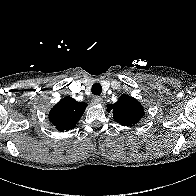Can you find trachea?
Returning a JSON list of instances; mask_svg holds the SVG:
<instances>
[{
    "instance_id": "3493384b",
    "label": "trachea",
    "mask_w": 196,
    "mask_h": 196,
    "mask_svg": "<svg viewBox=\"0 0 196 196\" xmlns=\"http://www.w3.org/2000/svg\"><path fill=\"white\" fill-rule=\"evenodd\" d=\"M102 92V86L99 83H95L92 86V93L94 95H100Z\"/></svg>"
}]
</instances>
